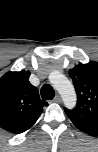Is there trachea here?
<instances>
[{
	"label": "trachea",
	"mask_w": 98,
	"mask_h": 152,
	"mask_svg": "<svg viewBox=\"0 0 98 152\" xmlns=\"http://www.w3.org/2000/svg\"><path fill=\"white\" fill-rule=\"evenodd\" d=\"M40 92L43 100H52L55 96V91L49 84L43 85Z\"/></svg>",
	"instance_id": "trachea-1"
}]
</instances>
